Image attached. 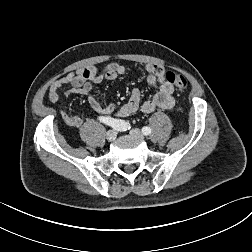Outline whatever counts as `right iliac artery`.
Wrapping results in <instances>:
<instances>
[{
  "label": "right iliac artery",
  "instance_id": "right-iliac-artery-1",
  "mask_svg": "<svg viewBox=\"0 0 252 252\" xmlns=\"http://www.w3.org/2000/svg\"><path fill=\"white\" fill-rule=\"evenodd\" d=\"M98 120L104 124H107L109 126H111L112 128L114 126H121L124 131L129 130L130 129V124L123 121V120H117V119H113L111 117H99Z\"/></svg>",
  "mask_w": 252,
  "mask_h": 252
}]
</instances>
